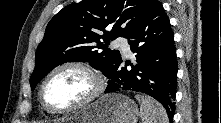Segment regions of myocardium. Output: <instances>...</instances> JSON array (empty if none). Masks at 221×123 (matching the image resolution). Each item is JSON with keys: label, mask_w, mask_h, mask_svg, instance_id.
Returning a JSON list of instances; mask_svg holds the SVG:
<instances>
[{"label": "myocardium", "mask_w": 221, "mask_h": 123, "mask_svg": "<svg viewBox=\"0 0 221 123\" xmlns=\"http://www.w3.org/2000/svg\"><path fill=\"white\" fill-rule=\"evenodd\" d=\"M65 69H76V70H80L86 73L94 81V88L92 92L79 103L69 106V107H65V108H57V107L50 105L47 102L46 97H45V89L51 77L55 75L57 72L65 70ZM104 90H105L104 78L99 72H97L91 66L82 62H66V63L56 66L45 76L40 86L39 96H40L41 104L46 111L53 113V114H61V113H70V112L82 109L92 104L103 94Z\"/></svg>", "instance_id": "obj_1"}]
</instances>
